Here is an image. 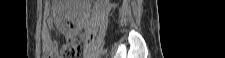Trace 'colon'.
I'll return each instance as SVG.
<instances>
[{"mask_svg":"<svg viewBox=\"0 0 225 58\" xmlns=\"http://www.w3.org/2000/svg\"><path fill=\"white\" fill-rule=\"evenodd\" d=\"M80 50H81V47L77 42L66 44L62 47L61 57L62 58L77 57L80 53Z\"/></svg>","mask_w":225,"mask_h":58,"instance_id":"5ec220e1","label":"colon"}]
</instances>
